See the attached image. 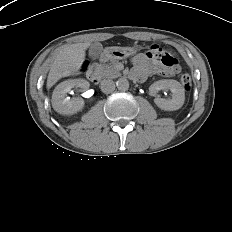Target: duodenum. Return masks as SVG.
Wrapping results in <instances>:
<instances>
[{
	"label": "duodenum",
	"instance_id": "410a0bca",
	"mask_svg": "<svg viewBox=\"0 0 232 232\" xmlns=\"http://www.w3.org/2000/svg\"><path fill=\"white\" fill-rule=\"evenodd\" d=\"M87 78L93 82L96 83L99 80V72L96 66H91L87 71Z\"/></svg>",
	"mask_w": 232,
	"mask_h": 232
}]
</instances>
